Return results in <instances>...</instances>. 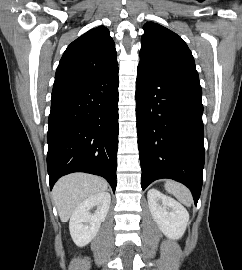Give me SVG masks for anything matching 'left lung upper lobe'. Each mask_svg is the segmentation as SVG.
<instances>
[{
	"instance_id": "obj_1",
	"label": "left lung upper lobe",
	"mask_w": 242,
	"mask_h": 270,
	"mask_svg": "<svg viewBox=\"0 0 242 270\" xmlns=\"http://www.w3.org/2000/svg\"><path fill=\"white\" fill-rule=\"evenodd\" d=\"M143 29L139 65L200 86L194 58L183 39L157 23L147 22Z\"/></svg>"
}]
</instances>
